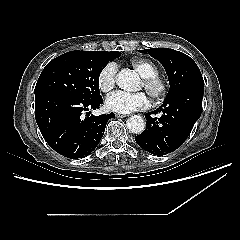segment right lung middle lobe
<instances>
[{"label": "right lung middle lobe", "mask_w": 240, "mask_h": 240, "mask_svg": "<svg viewBox=\"0 0 240 240\" xmlns=\"http://www.w3.org/2000/svg\"><path fill=\"white\" fill-rule=\"evenodd\" d=\"M119 56L117 51L76 50L62 54L45 66L34 93H63L85 101L100 99V71L107 62Z\"/></svg>", "instance_id": "dd1d6c3e"}]
</instances>
